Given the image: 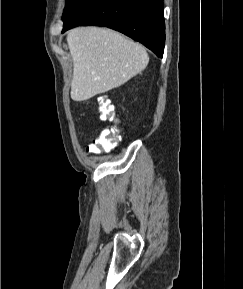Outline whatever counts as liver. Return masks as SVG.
<instances>
[{
    "label": "liver",
    "mask_w": 243,
    "mask_h": 289,
    "mask_svg": "<svg viewBox=\"0 0 243 289\" xmlns=\"http://www.w3.org/2000/svg\"><path fill=\"white\" fill-rule=\"evenodd\" d=\"M67 43L73 59L74 101H85L123 85L149 62L142 45L111 29L77 27L68 32Z\"/></svg>",
    "instance_id": "6515ba94"
}]
</instances>
